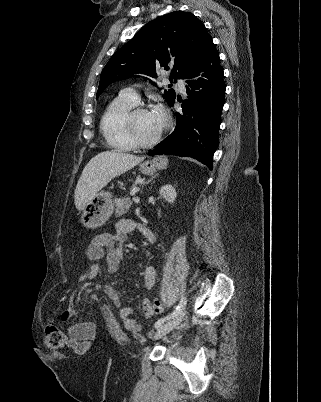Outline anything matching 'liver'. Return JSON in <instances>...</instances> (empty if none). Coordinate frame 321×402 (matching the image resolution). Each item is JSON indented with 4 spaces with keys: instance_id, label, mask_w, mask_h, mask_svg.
Masks as SVG:
<instances>
[{
    "instance_id": "liver-1",
    "label": "liver",
    "mask_w": 321,
    "mask_h": 402,
    "mask_svg": "<svg viewBox=\"0 0 321 402\" xmlns=\"http://www.w3.org/2000/svg\"><path fill=\"white\" fill-rule=\"evenodd\" d=\"M117 150L104 151L94 156L85 166L78 180L74 202L78 210L87 203L114 177L119 176L144 160Z\"/></svg>"
}]
</instances>
